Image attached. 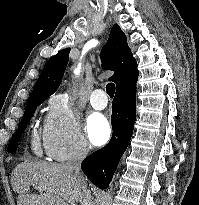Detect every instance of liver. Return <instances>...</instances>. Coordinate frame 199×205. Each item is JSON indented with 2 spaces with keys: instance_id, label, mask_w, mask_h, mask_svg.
Listing matches in <instances>:
<instances>
[{
  "instance_id": "liver-1",
  "label": "liver",
  "mask_w": 199,
  "mask_h": 205,
  "mask_svg": "<svg viewBox=\"0 0 199 205\" xmlns=\"http://www.w3.org/2000/svg\"><path fill=\"white\" fill-rule=\"evenodd\" d=\"M11 185L18 193V205H66L58 193L82 205V189L73 171L65 164L22 162L11 174ZM31 185L40 193H31Z\"/></svg>"
}]
</instances>
